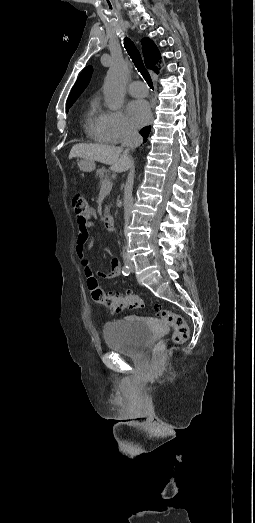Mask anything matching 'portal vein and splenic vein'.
Instances as JSON below:
<instances>
[{"label": "portal vein and splenic vein", "instance_id": "1", "mask_svg": "<svg viewBox=\"0 0 255 523\" xmlns=\"http://www.w3.org/2000/svg\"><path fill=\"white\" fill-rule=\"evenodd\" d=\"M100 191L98 192V195L100 197H107L109 193L113 191L112 188V182H103V184L100 186Z\"/></svg>", "mask_w": 255, "mask_h": 523}]
</instances>
